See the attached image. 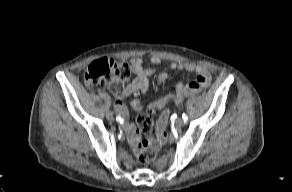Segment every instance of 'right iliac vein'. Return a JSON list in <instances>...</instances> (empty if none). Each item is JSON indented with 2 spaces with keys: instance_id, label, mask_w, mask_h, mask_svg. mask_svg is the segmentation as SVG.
<instances>
[{
  "instance_id": "1",
  "label": "right iliac vein",
  "mask_w": 292,
  "mask_h": 192,
  "mask_svg": "<svg viewBox=\"0 0 292 192\" xmlns=\"http://www.w3.org/2000/svg\"><path fill=\"white\" fill-rule=\"evenodd\" d=\"M106 118L110 121H112L114 119L113 114L111 112L106 113Z\"/></svg>"
}]
</instances>
